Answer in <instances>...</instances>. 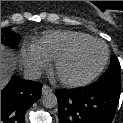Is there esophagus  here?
Masks as SVG:
<instances>
[{
	"label": "esophagus",
	"mask_w": 123,
	"mask_h": 123,
	"mask_svg": "<svg viewBox=\"0 0 123 123\" xmlns=\"http://www.w3.org/2000/svg\"><path fill=\"white\" fill-rule=\"evenodd\" d=\"M50 92H52V88L51 87H49L48 85H43V87H42V94L44 95V94H48V93H50Z\"/></svg>",
	"instance_id": "1"
}]
</instances>
